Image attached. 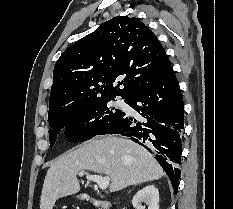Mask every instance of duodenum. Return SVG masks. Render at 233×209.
Listing matches in <instances>:
<instances>
[{
    "label": "duodenum",
    "instance_id": "1",
    "mask_svg": "<svg viewBox=\"0 0 233 209\" xmlns=\"http://www.w3.org/2000/svg\"><path fill=\"white\" fill-rule=\"evenodd\" d=\"M82 199L85 202L97 207L98 209H109V207L111 206L110 202L95 199V198L91 197L90 195H83Z\"/></svg>",
    "mask_w": 233,
    "mask_h": 209
}]
</instances>
